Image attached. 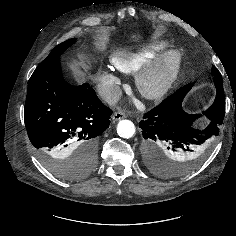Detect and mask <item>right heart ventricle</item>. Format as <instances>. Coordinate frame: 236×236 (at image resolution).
Here are the masks:
<instances>
[{
    "label": "right heart ventricle",
    "instance_id": "obj_1",
    "mask_svg": "<svg viewBox=\"0 0 236 236\" xmlns=\"http://www.w3.org/2000/svg\"><path fill=\"white\" fill-rule=\"evenodd\" d=\"M166 47L167 44L163 41H152L139 48L114 52L111 62L121 72H136L156 58Z\"/></svg>",
    "mask_w": 236,
    "mask_h": 236
}]
</instances>
